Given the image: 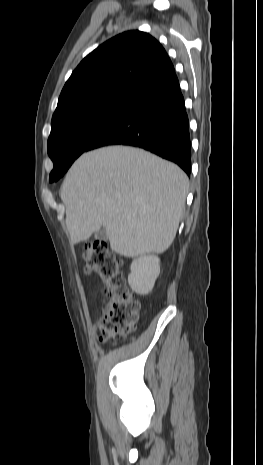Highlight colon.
Masks as SVG:
<instances>
[{"instance_id":"1","label":"colon","mask_w":263,"mask_h":465,"mask_svg":"<svg viewBox=\"0 0 263 465\" xmlns=\"http://www.w3.org/2000/svg\"><path fill=\"white\" fill-rule=\"evenodd\" d=\"M82 260L86 273L95 272L105 290L104 311L95 327L101 341L116 335L127 336L137 328L139 303L129 291L121 262L104 241L94 240L85 245Z\"/></svg>"}]
</instances>
